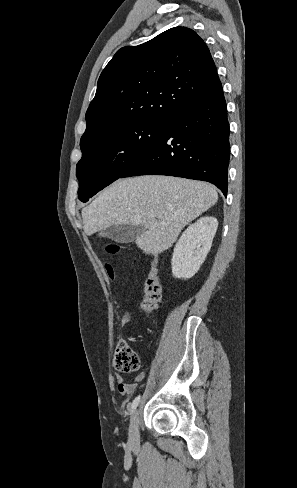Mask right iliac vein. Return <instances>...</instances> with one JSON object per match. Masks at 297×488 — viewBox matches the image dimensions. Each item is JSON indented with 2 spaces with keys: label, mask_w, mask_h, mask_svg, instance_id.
Returning a JSON list of instances; mask_svg holds the SVG:
<instances>
[{
  "label": "right iliac vein",
  "mask_w": 297,
  "mask_h": 488,
  "mask_svg": "<svg viewBox=\"0 0 297 488\" xmlns=\"http://www.w3.org/2000/svg\"><path fill=\"white\" fill-rule=\"evenodd\" d=\"M139 415L138 411L135 410L130 418L129 425V443L131 446L136 447L139 444Z\"/></svg>",
  "instance_id": "1"
}]
</instances>
